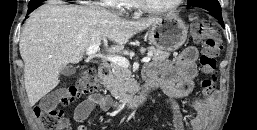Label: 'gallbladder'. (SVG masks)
<instances>
[{"instance_id": "gallbladder-1", "label": "gallbladder", "mask_w": 257, "mask_h": 130, "mask_svg": "<svg viewBox=\"0 0 257 130\" xmlns=\"http://www.w3.org/2000/svg\"><path fill=\"white\" fill-rule=\"evenodd\" d=\"M60 73L64 76H70L75 73V68L73 66H65Z\"/></svg>"}]
</instances>
